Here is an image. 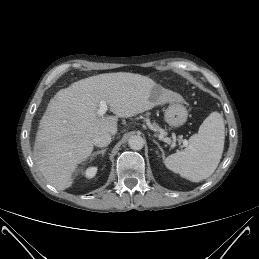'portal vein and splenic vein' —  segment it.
<instances>
[{"mask_svg": "<svg viewBox=\"0 0 259 259\" xmlns=\"http://www.w3.org/2000/svg\"><path fill=\"white\" fill-rule=\"evenodd\" d=\"M107 110H108L107 103L104 100H101L99 104V108L97 110V115L103 116L107 112ZM183 144L184 146H187L188 145L187 140H183Z\"/></svg>", "mask_w": 259, "mask_h": 259, "instance_id": "portal-vein-and-splenic-vein-1", "label": "portal vein and splenic vein"}]
</instances>
